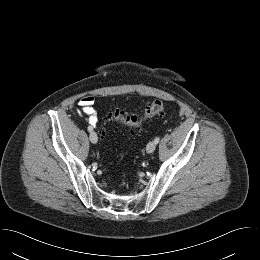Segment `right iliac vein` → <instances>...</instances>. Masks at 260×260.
Wrapping results in <instances>:
<instances>
[{
    "mask_svg": "<svg viewBox=\"0 0 260 260\" xmlns=\"http://www.w3.org/2000/svg\"><path fill=\"white\" fill-rule=\"evenodd\" d=\"M89 138H90V141L94 144L97 143V141H98V137L95 132H91L89 135Z\"/></svg>",
    "mask_w": 260,
    "mask_h": 260,
    "instance_id": "1",
    "label": "right iliac vein"
}]
</instances>
